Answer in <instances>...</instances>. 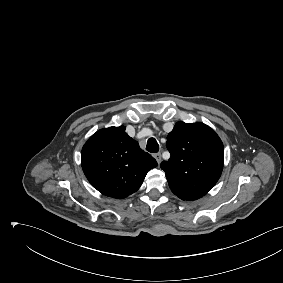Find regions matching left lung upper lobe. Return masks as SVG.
I'll use <instances>...</instances> for the list:
<instances>
[{
	"instance_id": "left-lung-upper-lobe-1",
	"label": "left lung upper lobe",
	"mask_w": 283,
	"mask_h": 283,
	"mask_svg": "<svg viewBox=\"0 0 283 283\" xmlns=\"http://www.w3.org/2000/svg\"><path fill=\"white\" fill-rule=\"evenodd\" d=\"M166 147L171 157L160 166L166 173L171 191L178 198L197 200L219 180L224 148L209 126L178 122L167 136Z\"/></svg>"
}]
</instances>
